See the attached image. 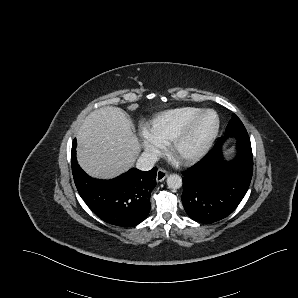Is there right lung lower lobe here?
<instances>
[{"instance_id":"1","label":"right lung lower lobe","mask_w":298,"mask_h":298,"mask_svg":"<svg viewBox=\"0 0 298 298\" xmlns=\"http://www.w3.org/2000/svg\"><path fill=\"white\" fill-rule=\"evenodd\" d=\"M71 164L80 196L100 219L116 226L133 227L147 217L151 191L156 186V167L147 172L132 168L111 180L93 179L77 163L75 140Z\"/></svg>"}]
</instances>
